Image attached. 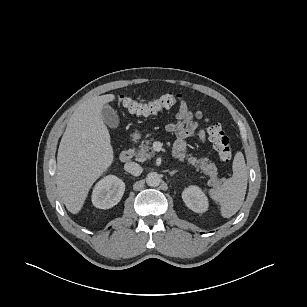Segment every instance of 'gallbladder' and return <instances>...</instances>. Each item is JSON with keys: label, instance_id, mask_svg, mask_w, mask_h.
I'll return each mask as SVG.
<instances>
[{"label": "gallbladder", "instance_id": "1", "mask_svg": "<svg viewBox=\"0 0 307 307\" xmlns=\"http://www.w3.org/2000/svg\"><path fill=\"white\" fill-rule=\"evenodd\" d=\"M102 118L104 123L110 128H117L119 125V117L117 112L108 104L102 108Z\"/></svg>", "mask_w": 307, "mask_h": 307}]
</instances>
